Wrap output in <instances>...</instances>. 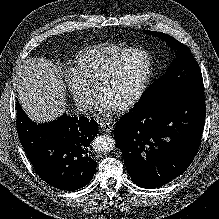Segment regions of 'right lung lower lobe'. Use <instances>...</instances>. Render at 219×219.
I'll use <instances>...</instances> for the list:
<instances>
[{
    "mask_svg": "<svg viewBox=\"0 0 219 219\" xmlns=\"http://www.w3.org/2000/svg\"><path fill=\"white\" fill-rule=\"evenodd\" d=\"M16 123L21 144L43 181L73 191L92 180L97 163L89 157L88 146L98 133L97 122L64 113L53 122L36 124L17 102Z\"/></svg>",
    "mask_w": 219,
    "mask_h": 219,
    "instance_id": "right-lung-lower-lobe-1",
    "label": "right lung lower lobe"
}]
</instances>
